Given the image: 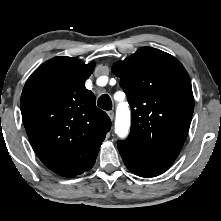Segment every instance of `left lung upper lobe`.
Segmentation results:
<instances>
[{
	"label": "left lung upper lobe",
	"mask_w": 221,
	"mask_h": 221,
	"mask_svg": "<svg viewBox=\"0 0 221 221\" xmlns=\"http://www.w3.org/2000/svg\"><path fill=\"white\" fill-rule=\"evenodd\" d=\"M132 111L125 142L161 159L175 160L188 133L194 98L183 65L172 55L144 47L112 66Z\"/></svg>",
	"instance_id": "obj_1"
}]
</instances>
